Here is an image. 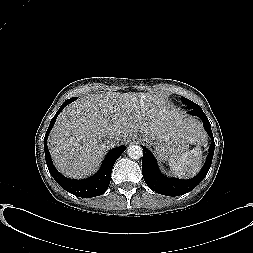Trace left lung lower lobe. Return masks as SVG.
<instances>
[{"instance_id":"obj_1","label":"left lung lower lobe","mask_w":253,"mask_h":253,"mask_svg":"<svg viewBox=\"0 0 253 253\" xmlns=\"http://www.w3.org/2000/svg\"><path fill=\"white\" fill-rule=\"evenodd\" d=\"M189 114L199 117L204 125L205 131L211 138V146L209 148V154L206 159V163L204 164L202 170L192 179L190 180H181L177 178H168L164 176L158 168L156 159L152 155V153L142 146L143 148V158H142V174L143 178L153 191L167 195V196H179L186 194L193 190L207 175L214 154V138L211 131V125L209 123L208 118L202 111L199 105H192L189 107Z\"/></svg>"}]
</instances>
